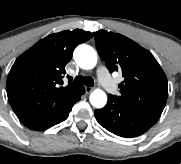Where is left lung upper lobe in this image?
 <instances>
[{
    "instance_id": "left-lung-upper-lobe-1",
    "label": "left lung upper lobe",
    "mask_w": 181,
    "mask_h": 164,
    "mask_svg": "<svg viewBox=\"0 0 181 164\" xmlns=\"http://www.w3.org/2000/svg\"><path fill=\"white\" fill-rule=\"evenodd\" d=\"M93 34L97 51L110 73L119 71L124 77L119 84L120 95L111 96L160 117L167 101L168 83L153 55L120 34L105 30Z\"/></svg>"
}]
</instances>
